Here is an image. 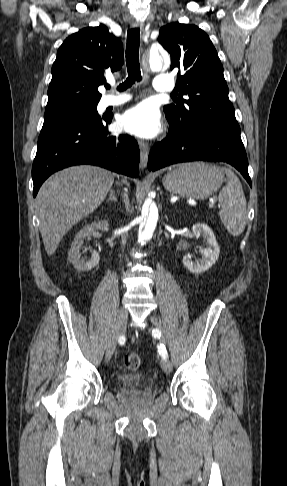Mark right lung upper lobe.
I'll list each match as a JSON object with an SVG mask.
<instances>
[{
  "instance_id": "obj_1",
  "label": "right lung upper lobe",
  "mask_w": 287,
  "mask_h": 486,
  "mask_svg": "<svg viewBox=\"0 0 287 486\" xmlns=\"http://www.w3.org/2000/svg\"><path fill=\"white\" fill-rule=\"evenodd\" d=\"M123 44L107 27H88L70 35L60 46L52 66L46 108L83 101H99L98 86L106 72L123 64Z\"/></svg>"
}]
</instances>
